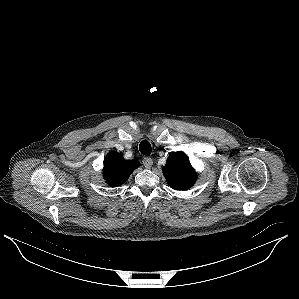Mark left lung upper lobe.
I'll list each match as a JSON object with an SVG mask.
<instances>
[{
  "mask_svg": "<svg viewBox=\"0 0 299 299\" xmlns=\"http://www.w3.org/2000/svg\"><path fill=\"white\" fill-rule=\"evenodd\" d=\"M168 184L175 190H186L196 181L197 175L188 157L181 151L171 153L163 168Z\"/></svg>",
  "mask_w": 299,
  "mask_h": 299,
  "instance_id": "1",
  "label": "left lung upper lobe"
}]
</instances>
